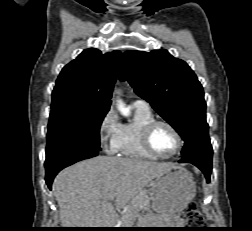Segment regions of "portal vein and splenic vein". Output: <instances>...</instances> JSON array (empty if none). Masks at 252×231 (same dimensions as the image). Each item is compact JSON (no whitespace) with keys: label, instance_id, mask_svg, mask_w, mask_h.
Listing matches in <instances>:
<instances>
[{"label":"portal vein and splenic vein","instance_id":"portal-vein-and-splenic-vein-1","mask_svg":"<svg viewBox=\"0 0 252 231\" xmlns=\"http://www.w3.org/2000/svg\"><path fill=\"white\" fill-rule=\"evenodd\" d=\"M115 197H116L115 194L110 195V196L108 197V200H109V201H113V200L115 199Z\"/></svg>","mask_w":252,"mask_h":231}]
</instances>
